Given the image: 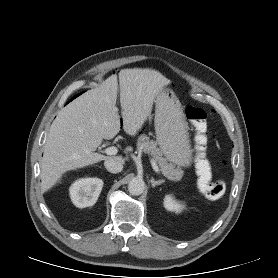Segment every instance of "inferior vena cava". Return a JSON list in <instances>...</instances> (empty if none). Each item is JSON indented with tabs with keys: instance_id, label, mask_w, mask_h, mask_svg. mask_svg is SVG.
I'll use <instances>...</instances> for the list:
<instances>
[{
	"instance_id": "obj_1",
	"label": "inferior vena cava",
	"mask_w": 278,
	"mask_h": 278,
	"mask_svg": "<svg viewBox=\"0 0 278 278\" xmlns=\"http://www.w3.org/2000/svg\"><path fill=\"white\" fill-rule=\"evenodd\" d=\"M104 166L111 173H118L123 169V163L112 158L105 160Z\"/></svg>"
}]
</instances>
